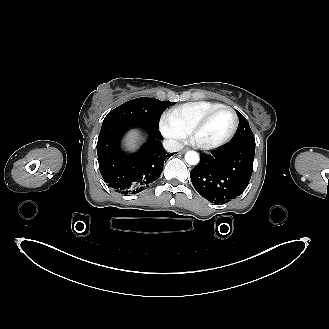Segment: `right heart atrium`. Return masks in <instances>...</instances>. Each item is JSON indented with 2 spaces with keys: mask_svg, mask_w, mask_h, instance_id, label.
Returning <instances> with one entry per match:
<instances>
[{
  "mask_svg": "<svg viewBox=\"0 0 329 329\" xmlns=\"http://www.w3.org/2000/svg\"><path fill=\"white\" fill-rule=\"evenodd\" d=\"M160 128L163 135L173 144H179L185 137L186 133L177 126L167 115H164L160 121Z\"/></svg>",
  "mask_w": 329,
  "mask_h": 329,
  "instance_id": "right-heart-atrium-1",
  "label": "right heart atrium"
}]
</instances>
